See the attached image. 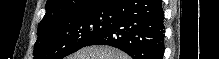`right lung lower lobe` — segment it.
<instances>
[{
	"instance_id": "1",
	"label": "right lung lower lobe",
	"mask_w": 219,
	"mask_h": 59,
	"mask_svg": "<svg viewBox=\"0 0 219 59\" xmlns=\"http://www.w3.org/2000/svg\"><path fill=\"white\" fill-rule=\"evenodd\" d=\"M164 12L161 0H118L110 26L89 45L119 48L133 59H162Z\"/></svg>"
}]
</instances>
